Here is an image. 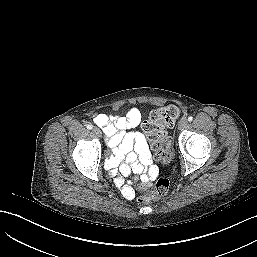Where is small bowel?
Here are the masks:
<instances>
[{
  "mask_svg": "<svg viewBox=\"0 0 257 257\" xmlns=\"http://www.w3.org/2000/svg\"><path fill=\"white\" fill-rule=\"evenodd\" d=\"M142 114L137 108H132L125 116L97 114L94 122L102 128L107 142L112 148V155L106 161V168L115 176V183L121 188L126 198H134V191L125 185V178L135 172L143 182L157 175V169L152 164L151 153L142 134L135 131L127 132L131 127L141 122ZM134 149V152L132 150Z\"/></svg>",
  "mask_w": 257,
  "mask_h": 257,
  "instance_id": "c3829d8e",
  "label": "small bowel"
}]
</instances>
